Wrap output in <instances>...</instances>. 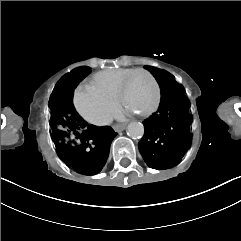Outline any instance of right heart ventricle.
<instances>
[{
    "label": "right heart ventricle",
    "mask_w": 241,
    "mask_h": 241,
    "mask_svg": "<svg viewBox=\"0 0 241 241\" xmlns=\"http://www.w3.org/2000/svg\"><path fill=\"white\" fill-rule=\"evenodd\" d=\"M128 70L132 69L107 68L88 77L81 85L94 84L98 86L102 92L109 93L111 95V97H107V99H112V97L116 94V84L119 82L122 75Z\"/></svg>",
    "instance_id": "right-heart-ventricle-1"
}]
</instances>
